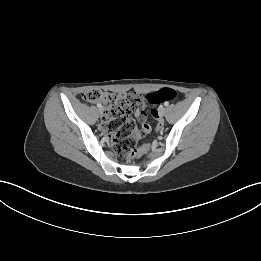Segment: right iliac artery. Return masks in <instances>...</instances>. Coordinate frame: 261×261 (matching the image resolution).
<instances>
[{
    "label": "right iliac artery",
    "instance_id": "1",
    "mask_svg": "<svg viewBox=\"0 0 261 261\" xmlns=\"http://www.w3.org/2000/svg\"><path fill=\"white\" fill-rule=\"evenodd\" d=\"M97 107H98V108H101V107H102V105H101L100 103H98V104H97Z\"/></svg>",
    "mask_w": 261,
    "mask_h": 261
}]
</instances>
